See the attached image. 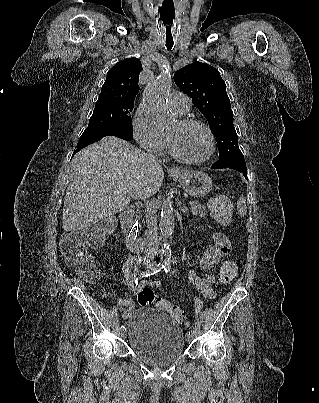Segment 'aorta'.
<instances>
[{
    "mask_svg": "<svg viewBox=\"0 0 319 403\" xmlns=\"http://www.w3.org/2000/svg\"><path fill=\"white\" fill-rule=\"evenodd\" d=\"M171 84L172 77L170 73L163 72L147 85L144 92L143 103L145 111L149 119L158 128L163 127L169 120L167 100ZM159 228L164 238L162 253L168 257L171 254L168 238L174 231V215L171 198H167L162 202Z\"/></svg>",
    "mask_w": 319,
    "mask_h": 403,
    "instance_id": "762f6f07",
    "label": "aorta"
}]
</instances>
